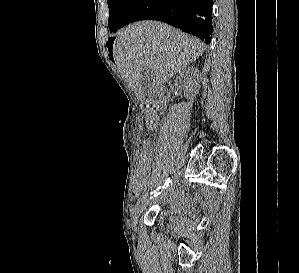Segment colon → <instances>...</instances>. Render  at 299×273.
Wrapping results in <instances>:
<instances>
[{"label":"colon","instance_id":"5ec220e1","mask_svg":"<svg viewBox=\"0 0 299 273\" xmlns=\"http://www.w3.org/2000/svg\"><path fill=\"white\" fill-rule=\"evenodd\" d=\"M152 149V144L149 139H144L142 141V150L150 151Z\"/></svg>","mask_w":299,"mask_h":273}]
</instances>
